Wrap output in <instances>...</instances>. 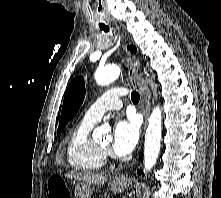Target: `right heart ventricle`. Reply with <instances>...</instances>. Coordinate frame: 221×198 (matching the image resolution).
Masks as SVG:
<instances>
[{"mask_svg":"<svg viewBox=\"0 0 221 198\" xmlns=\"http://www.w3.org/2000/svg\"><path fill=\"white\" fill-rule=\"evenodd\" d=\"M94 124L82 120L68 138L67 161L75 169L97 171L104 165L105 151L90 136Z\"/></svg>","mask_w":221,"mask_h":198,"instance_id":"e07e8e85","label":"right heart ventricle"}]
</instances>
